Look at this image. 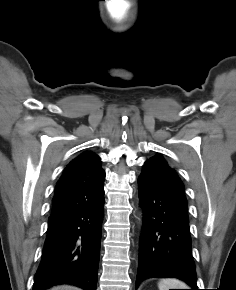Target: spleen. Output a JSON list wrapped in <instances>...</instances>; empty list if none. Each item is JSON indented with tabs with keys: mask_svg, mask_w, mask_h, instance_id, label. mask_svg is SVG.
Segmentation results:
<instances>
[{
	"mask_svg": "<svg viewBox=\"0 0 236 290\" xmlns=\"http://www.w3.org/2000/svg\"><path fill=\"white\" fill-rule=\"evenodd\" d=\"M159 290H169V289H187V285L175 278L161 279L158 282Z\"/></svg>",
	"mask_w": 236,
	"mask_h": 290,
	"instance_id": "spleen-1",
	"label": "spleen"
}]
</instances>
